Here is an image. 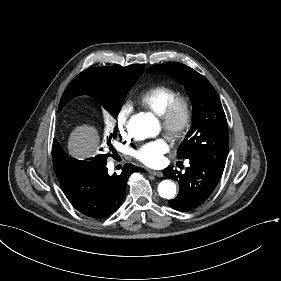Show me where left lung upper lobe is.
Wrapping results in <instances>:
<instances>
[{
    "label": "left lung upper lobe",
    "mask_w": 281,
    "mask_h": 281,
    "mask_svg": "<svg viewBox=\"0 0 281 281\" xmlns=\"http://www.w3.org/2000/svg\"><path fill=\"white\" fill-rule=\"evenodd\" d=\"M148 73L167 74L185 86L193 106L192 127L178 158H201L224 169L229 147L227 120L217 92L192 68L177 62L154 65Z\"/></svg>",
    "instance_id": "left-lung-upper-lobe-1"
}]
</instances>
